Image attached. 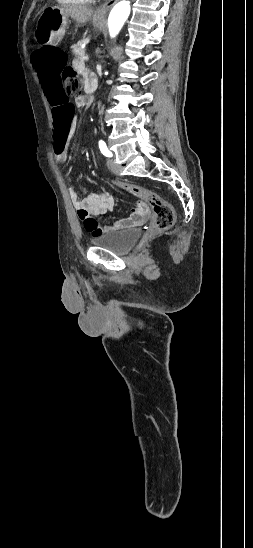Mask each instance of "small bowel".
I'll return each instance as SVG.
<instances>
[{
	"mask_svg": "<svg viewBox=\"0 0 253 548\" xmlns=\"http://www.w3.org/2000/svg\"><path fill=\"white\" fill-rule=\"evenodd\" d=\"M72 69L75 71H83L84 68L78 61H74ZM93 76L91 73H85V80ZM42 82V80H41ZM93 98L87 94L79 95L75 98L74 102L71 103L75 109H80L87 107L91 104ZM54 135V134H53ZM72 133H69V137L64 141V148L62 150H55L54 158L57 163L67 162V149L69 145V140ZM55 141L53 140V143ZM61 151L62 155L58 156L57 152ZM69 195L71 201L79 213L81 220L84 223L85 229L92 234L93 236L100 235L110 231L121 230L129 227L138 226L144 223L150 214L149 207L146 202L140 200L136 205L131 209L130 217L126 219H121L116 221L113 224L101 225L95 217L105 215L107 212L112 211L115 207V198L106 191H101L98 193H89L83 194L69 188Z\"/></svg>",
	"mask_w": 253,
	"mask_h": 548,
	"instance_id": "c3829d8e",
	"label": "small bowel"
}]
</instances>
